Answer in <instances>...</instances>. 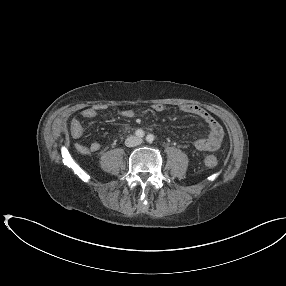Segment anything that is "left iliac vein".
Masks as SVG:
<instances>
[{
  "label": "left iliac vein",
  "instance_id": "obj_1",
  "mask_svg": "<svg viewBox=\"0 0 286 286\" xmlns=\"http://www.w3.org/2000/svg\"><path fill=\"white\" fill-rule=\"evenodd\" d=\"M141 143H142V139H138L137 144H141Z\"/></svg>",
  "mask_w": 286,
  "mask_h": 286
}]
</instances>
